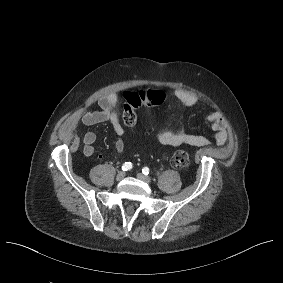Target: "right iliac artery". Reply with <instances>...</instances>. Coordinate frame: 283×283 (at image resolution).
I'll use <instances>...</instances> for the list:
<instances>
[{
    "instance_id": "1",
    "label": "right iliac artery",
    "mask_w": 283,
    "mask_h": 283,
    "mask_svg": "<svg viewBox=\"0 0 283 283\" xmlns=\"http://www.w3.org/2000/svg\"><path fill=\"white\" fill-rule=\"evenodd\" d=\"M132 163L131 162H125L123 165H122V170L123 171H128L130 169H132Z\"/></svg>"
}]
</instances>
